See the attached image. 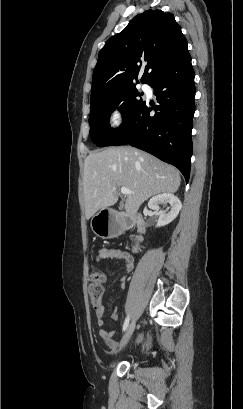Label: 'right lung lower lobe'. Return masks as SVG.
<instances>
[{"mask_svg":"<svg viewBox=\"0 0 243 409\" xmlns=\"http://www.w3.org/2000/svg\"><path fill=\"white\" fill-rule=\"evenodd\" d=\"M194 71L187 46L149 83L157 97L158 112L147 101L108 146L130 144L177 167L189 180L193 144L192 118L195 112Z\"/></svg>","mask_w":243,"mask_h":409,"instance_id":"right-lung-lower-lobe-1","label":"right lung lower lobe"}]
</instances>
